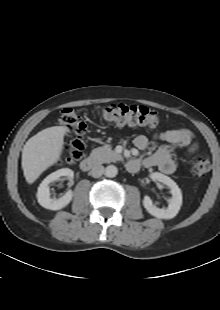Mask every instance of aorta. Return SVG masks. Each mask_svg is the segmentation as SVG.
Masks as SVG:
<instances>
[{"label": "aorta", "mask_w": 220, "mask_h": 310, "mask_svg": "<svg viewBox=\"0 0 220 310\" xmlns=\"http://www.w3.org/2000/svg\"><path fill=\"white\" fill-rule=\"evenodd\" d=\"M118 173V169L116 166L114 165H109L106 167L105 169V175L109 178H113L117 175Z\"/></svg>", "instance_id": "aorta-1"}]
</instances>
